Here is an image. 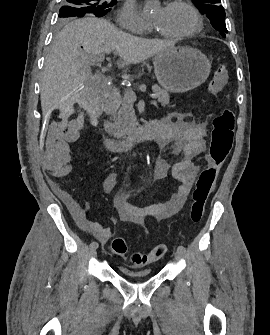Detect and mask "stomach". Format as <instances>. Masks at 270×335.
I'll use <instances>...</instances> for the list:
<instances>
[{
  "instance_id": "1",
  "label": "stomach",
  "mask_w": 270,
  "mask_h": 335,
  "mask_svg": "<svg viewBox=\"0 0 270 335\" xmlns=\"http://www.w3.org/2000/svg\"><path fill=\"white\" fill-rule=\"evenodd\" d=\"M154 74L166 92L183 94L201 86L207 80L211 62L196 48H170L156 54Z\"/></svg>"
}]
</instances>
